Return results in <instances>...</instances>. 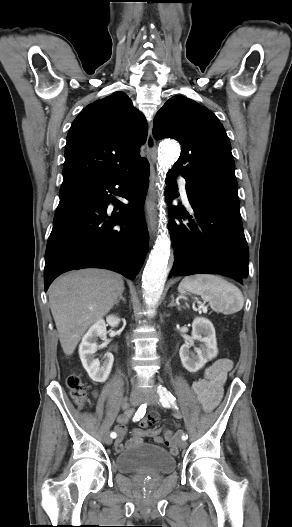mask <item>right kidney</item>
<instances>
[{
  "label": "right kidney",
  "mask_w": 292,
  "mask_h": 527,
  "mask_svg": "<svg viewBox=\"0 0 292 527\" xmlns=\"http://www.w3.org/2000/svg\"><path fill=\"white\" fill-rule=\"evenodd\" d=\"M106 322L110 326L115 327L119 324V318L110 315L106 318ZM98 338L106 339V323L103 319L94 323L83 336L79 345V356L89 377L95 382H104L111 372L114 357L108 352L105 354L104 362L102 365L100 364V361L94 356L98 348Z\"/></svg>",
  "instance_id": "1"
}]
</instances>
